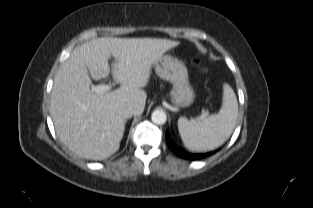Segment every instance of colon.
Listing matches in <instances>:
<instances>
[{
  "mask_svg": "<svg viewBox=\"0 0 313 208\" xmlns=\"http://www.w3.org/2000/svg\"><path fill=\"white\" fill-rule=\"evenodd\" d=\"M196 64H198V66L202 69V70H206V67L204 65V62L202 60V58H196L195 59Z\"/></svg>",
  "mask_w": 313,
  "mask_h": 208,
  "instance_id": "colon-1",
  "label": "colon"
}]
</instances>
